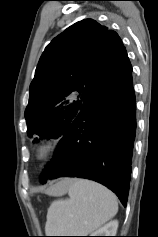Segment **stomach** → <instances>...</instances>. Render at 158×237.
Instances as JSON below:
<instances>
[{"mask_svg":"<svg viewBox=\"0 0 158 237\" xmlns=\"http://www.w3.org/2000/svg\"><path fill=\"white\" fill-rule=\"evenodd\" d=\"M65 180H69V179H64V180H62V181H65ZM68 186H69V184H64V185L62 186L61 190H62L63 193L67 191Z\"/></svg>","mask_w":158,"mask_h":237,"instance_id":"stomach-1","label":"stomach"}]
</instances>
